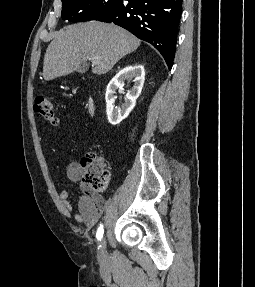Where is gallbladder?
<instances>
[{
    "instance_id": "gallbladder-1",
    "label": "gallbladder",
    "mask_w": 255,
    "mask_h": 287,
    "mask_svg": "<svg viewBox=\"0 0 255 287\" xmlns=\"http://www.w3.org/2000/svg\"><path fill=\"white\" fill-rule=\"evenodd\" d=\"M83 70H88L87 66H85V68H79L78 72H81V74H83Z\"/></svg>"
}]
</instances>
